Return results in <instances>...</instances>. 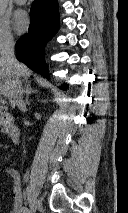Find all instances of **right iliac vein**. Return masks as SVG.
<instances>
[{"label": "right iliac vein", "instance_id": "63e3f726", "mask_svg": "<svg viewBox=\"0 0 128 213\" xmlns=\"http://www.w3.org/2000/svg\"><path fill=\"white\" fill-rule=\"evenodd\" d=\"M29 191V207H30V213H35L37 208L40 206V202L35 196L33 190L31 188H28Z\"/></svg>", "mask_w": 128, "mask_h": 213}]
</instances>
